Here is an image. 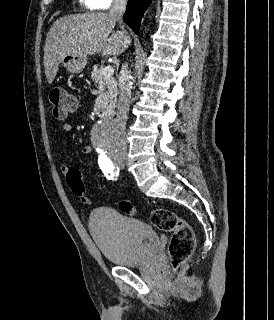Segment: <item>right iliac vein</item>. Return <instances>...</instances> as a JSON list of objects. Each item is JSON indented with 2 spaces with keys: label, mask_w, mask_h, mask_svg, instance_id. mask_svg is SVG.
Here are the masks:
<instances>
[{
  "label": "right iliac vein",
  "mask_w": 274,
  "mask_h": 320,
  "mask_svg": "<svg viewBox=\"0 0 274 320\" xmlns=\"http://www.w3.org/2000/svg\"><path fill=\"white\" fill-rule=\"evenodd\" d=\"M116 163H117L119 166H125L126 161H125L124 159H119V160H117Z\"/></svg>",
  "instance_id": "right-iliac-vein-1"
}]
</instances>
